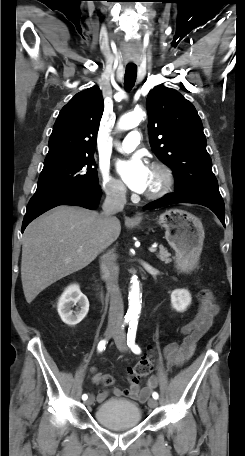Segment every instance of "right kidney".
<instances>
[{
	"instance_id": "ca27d5eb",
	"label": "right kidney",
	"mask_w": 245,
	"mask_h": 456,
	"mask_svg": "<svg viewBox=\"0 0 245 456\" xmlns=\"http://www.w3.org/2000/svg\"><path fill=\"white\" fill-rule=\"evenodd\" d=\"M74 306H77L76 311L72 310ZM57 308L61 320L69 326H75L87 315L89 301L78 284H71L59 298Z\"/></svg>"
}]
</instances>
